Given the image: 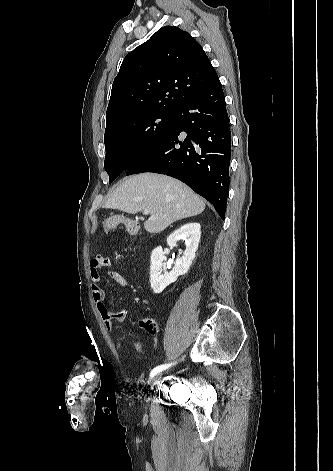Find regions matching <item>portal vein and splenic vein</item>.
Listing matches in <instances>:
<instances>
[{"instance_id":"portal-vein-and-splenic-vein-1","label":"portal vein and splenic vein","mask_w":333,"mask_h":471,"mask_svg":"<svg viewBox=\"0 0 333 471\" xmlns=\"http://www.w3.org/2000/svg\"><path fill=\"white\" fill-rule=\"evenodd\" d=\"M143 212L145 215H148L150 213L149 210H144Z\"/></svg>"}]
</instances>
